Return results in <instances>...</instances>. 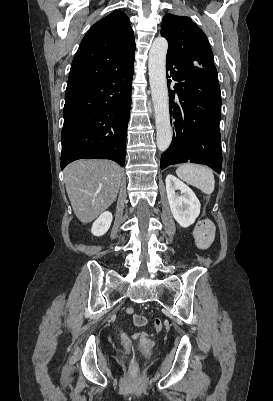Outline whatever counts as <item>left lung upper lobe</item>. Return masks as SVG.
<instances>
[{"label": "left lung upper lobe", "mask_w": 273, "mask_h": 401, "mask_svg": "<svg viewBox=\"0 0 273 401\" xmlns=\"http://www.w3.org/2000/svg\"><path fill=\"white\" fill-rule=\"evenodd\" d=\"M160 32L168 40L167 55L198 67L214 65L208 39L191 18L168 13L163 17Z\"/></svg>", "instance_id": "5c2ea615"}]
</instances>
